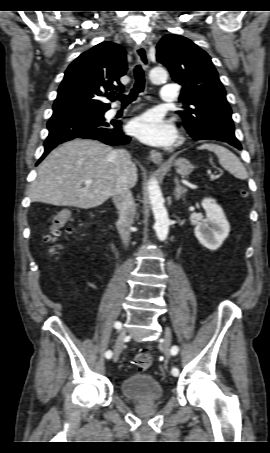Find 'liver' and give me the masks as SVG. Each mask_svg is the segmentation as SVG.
Returning <instances> with one entry per match:
<instances>
[{
	"mask_svg": "<svg viewBox=\"0 0 270 453\" xmlns=\"http://www.w3.org/2000/svg\"><path fill=\"white\" fill-rule=\"evenodd\" d=\"M114 150L98 141L74 139L54 149L38 166L30 188L33 202L89 209L113 197L118 171ZM129 188L137 182L135 164L128 170ZM92 184L86 185L85 180Z\"/></svg>",
	"mask_w": 270,
	"mask_h": 453,
	"instance_id": "1",
	"label": "liver"
}]
</instances>
